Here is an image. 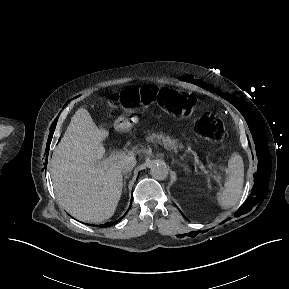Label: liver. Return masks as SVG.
<instances>
[{
  "label": "liver",
  "mask_w": 289,
  "mask_h": 289,
  "mask_svg": "<svg viewBox=\"0 0 289 289\" xmlns=\"http://www.w3.org/2000/svg\"><path fill=\"white\" fill-rule=\"evenodd\" d=\"M108 132L99 129L85 108L73 115L52 156V181L60 205L74 218L101 223L111 218L122 193L119 164L135 153L104 164L102 145Z\"/></svg>",
  "instance_id": "6515ba94"
}]
</instances>
